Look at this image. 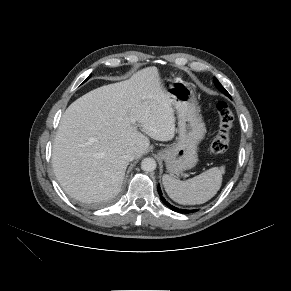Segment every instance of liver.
I'll use <instances>...</instances> for the list:
<instances>
[{"mask_svg": "<svg viewBox=\"0 0 291 291\" xmlns=\"http://www.w3.org/2000/svg\"><path fill=\"white\" fill-rule=\"evenodd\" d=\"M174 135L170 95L158 69L147 67L129 80L86 93L66 109L54 140L53 169L70 196L83 202L108 200L120 192L129 164L126 150L135 147L137 159L149 148L147 136L170 141Z\"/></svg>", "mask_w": 291, "mask_h": 291, "instance_id": "6515ba94", "label": "liver"}]
</instances>
